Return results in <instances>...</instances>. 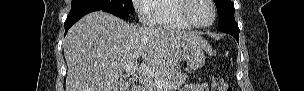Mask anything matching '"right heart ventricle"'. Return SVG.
Here are the masks:
<instances>
[{
	"label": "right heart ventricle",
	"instance_id": "right-heart-ventricle-1",
	"mask_svg": "<svg viewBox=\"0 0 304 91\" xmlns=\"http://www.w3.org/2000/svg\"><path fill=\"white\" fill-rule=\"evenodd\" d=\"M181 0H154L148 8L151 25L166 29L189 30L192 28L180 15Z\"/></svg>",
	"mask_w": 304,
	"mask_h": 91
}]
</instances>
